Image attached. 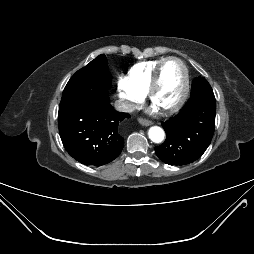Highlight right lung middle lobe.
<instances>
[{
	"mask_svg": "<svg viewBox=\"0 0 254 254\" xmlns=\"http://www.w3.org/2000/svg\"><path fill=\"white\" fill-rule=\"evenodd\" d=\"M112 76L104 54L99 55L87 66L78 70L68 81L65 88L87 85L92 89L106 90L111 86Z\"/></svg>",
	"mask_w": 254,
	"mask_h": 254,
	"instance_id": "dd1d6c3e",
	"label": "right lung middle lobe"
}]
</instances>
